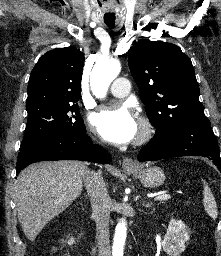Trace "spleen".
Returning a JSON list of instances; mask_svg holds the SVG:
<instances>
[{
  "instance_id": "spleen-1",
  "label": "spleen",
  "mask_w": 221,
  "mask_h": 256,
  "mask_svg": "<svg viewBox=\"0 0 221 256\" xmlns=\"http://www.w3.org/2000/svg\"><path fill=\"white\" fill-rule=\"evenodd\" d=\"M203 204L206 212L213 219H216L218 216L217 205L215 202V198L210 191V188L204 181V191H203Z\"/></svg>"
}]
</instances>
